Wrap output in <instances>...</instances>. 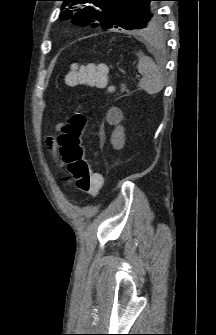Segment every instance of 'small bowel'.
Masks as SVG:
<instances>
[{
	"label": "small bowel",
	"instance_id": "1",
	"mask_svg": "<svg viewBox=\"0 0 216 335\" xmlns=\"http://www.w3.org/2000/svg\"><path fill=\"white\" fill-rule=\"evenodd\" d=\"M48 147H49V149H51V151L54 150V142L52 140L48 141Z\"/></svg>",
	"mask_w": 216,
	"mask_h": 335
}]
</instances>
